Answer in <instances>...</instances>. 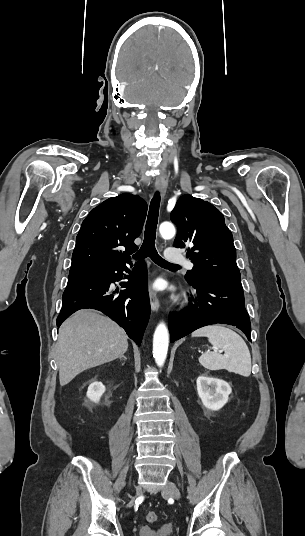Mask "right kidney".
<instances>
[{"mask_svg":"<svg viewBox=\"0 0 305 536\" xmlns=\"http://www.w3.org/2000/svg\"><path fill=\"white\" fill-rule=\"evenodd\" d=\"M104 392L105 386H103L102 382H92V384L88 386L87 398H89L91 402H99Z\"/></svg>","mask_w":305,"mask_h":536,"instance_id":"ca27d5eb","label":"right kidney"}]
</instances>
